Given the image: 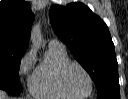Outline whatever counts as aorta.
Wrapping results in <instances>:
<instances>
[{
    "mask_svg": "<svg viewBox=\"0 0 128 99\" xmlns=\"http://www.w3.org/2000/svg\"><path fill=\"white\" fill-rule=\"evenodd\" d=\"M41 36H40V31H39V26L36 25L33 28V32L31 35V41L33 44L38 45L40 43Z\"/></svg>",
    "mask_w": 128,
    "mask_h": 99,
    "instance_id": "obj_1",
    "label": "aorta"
}]
</instances>
